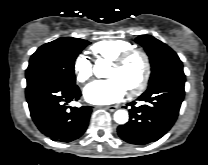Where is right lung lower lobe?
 Masks as SVG:
<instances>
[{"instance_id": "98d812e1", "label": "right lung lower lobe", "mask_w": 208, "mask_h": 165, "mask_svg": "<svg viewBox=\"0 0 208 165\" xmlns=\"http://www.w3.org/2000/svg\"><path fill=\"white\" fill-rule=\"evenodd\" d=\"M80 96L77 85L56 81H42L26 88V100L34 123L53 141L70 142L86 131L91 108L67 106Z\"/></svg>"}]
</instances>
